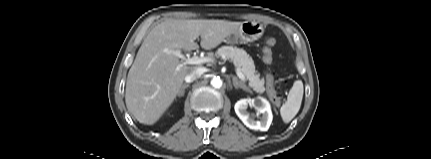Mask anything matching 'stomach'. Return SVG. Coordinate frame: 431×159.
Wrapping results in <instances>:
<instances>
[{
    "instance_id": "1",
    "label": "stomach",
    "mask_w": 431,
    "mask_h": 159,
    "mask_svg": "<svg viewBox=\"0 0 431 159\" xmlns=\"http://www.w3.org/2000/svg\"><path fill=\"white\" fill-rule=\"evenodd\" d=\"M264 32L263 24L257 21H244L226 39L229 44H242L259 39Z\"/></svg>"
}]
</instances>
